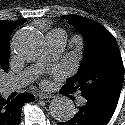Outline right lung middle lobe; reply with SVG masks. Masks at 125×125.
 Here are the masks:
<instances>
[{
  "label": "right lung middle lobe",
  "mask_w": 125,
  "mask_h": 125,
  "mask_svg": "<svg viewBox=\"0 0 125 125\" xmlns=\"http://www.w3.org/2000/svg\"><path fill=\"white\" fill-rule=\"evenodd\" d=\"M9 58H10L9 45L6 44V45L0 46V66L5 71L7 70L9 65Z\"/></svg>",
  "instance_id": "1"
}]
</instances>
